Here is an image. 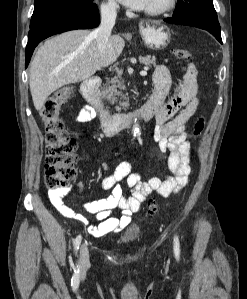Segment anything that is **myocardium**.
<instances>
[{
  "label": "myocardium",
  "instance_id": "myocardium-1",
  "mask_svg": "<svg viewBox=\"0 0 247 299\" xmlns=\"http://www.w3.org/2000/svg\"><path fill=\"white\" fill-rule=\"evenodd\" d=\"M175 3V0H162L161 2L147 7L145 13L151 16H157L169 11Z\"/></svg>",
  "mask_w": 247,
  "mask_h": 299
}]
</instances>
